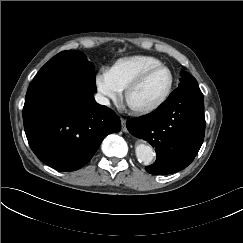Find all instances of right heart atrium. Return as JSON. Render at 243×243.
I'll use <instances>...</instances> for the list:
<instances>
[{
  "label": "right heart atrium",
  "instance_id": "obj_1",
  "mask_svg": "<svg viewBox=\"0 0 243 243\" xmlns=\"http://www.w3.org/2000/svg\"><path fill=\"white\" fill-rule=\"evenodd\" d=\"M96 87L105 102L118 101L121 98V90L114 84L107 69L97 75Z\"/></svg>",
  "mask_w": 243,
  "mask_h": 243
}]
</instances>
